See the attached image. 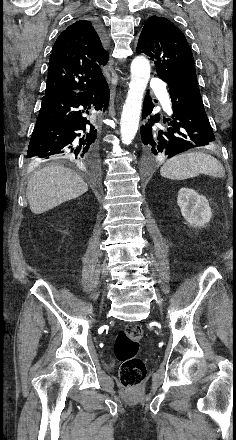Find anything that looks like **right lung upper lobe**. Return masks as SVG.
Returning <instances> with one entry per match:
<instances>
[{
    "mask_svg": "<svg viewBox=\"0 0 236 440\" xmlns=\"http://www.w3.org/2000/svg\"><path fill=\"white\" fill-rule=\"evenodd\" d=\"M108 58L99 30L87 20L76 21L58 36L53 46L45 95L96 86L105 79L100 66Z\"/></svg>",
    "mask_w": 236,
    "mask_h": 440,
    "instance_id": "1",
    "label": "right lung upper lobe"
}]
</instances>
